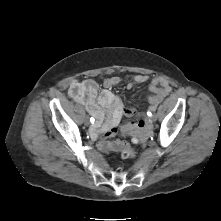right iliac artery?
<instances>
[{"instance_id":"right-iliac-artery-1","label":"right iliac artery","mask_w":221,"mask_h":221,"mask_svg":"<svg viewBox=\"0 0 221 221\" xmlns=\"http://www.w3.org/2000/svg\"><path fill=\"white\" fill-rule=\"evenodd\" d=\"M95 119L93 117L90 118V122L94 123Z\"/></svg>"}]
</instances>
